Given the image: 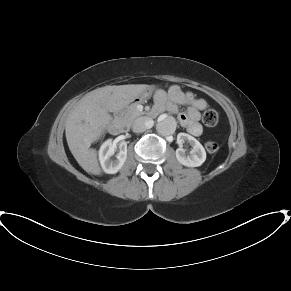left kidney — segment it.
<instances>
[{
  "label": "left kidney",
  "instance_id": "5707ae66",
  "mask_svg": "<svg viewBox=\"0 0 291 291\" xmlns=\"http://www.w3.org/2000/svg\"><path fill=\"white\" fill-rule=\"evenodd\" d=\"M185 142H188L192 147L189 153L182 148ZM177 143L179 148L176 150V158L180 164L187 167H199L205 162V149L196 138L187 133H179L177 135Z\"/></svg>",
  "mask_w": 291,
  "mask_h": 291
}]
</instances>
